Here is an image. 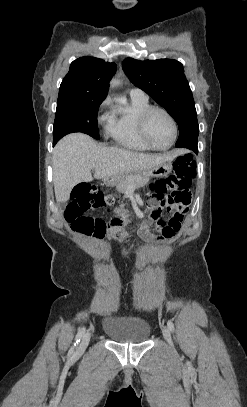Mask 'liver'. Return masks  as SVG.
<instances>
[{
	"instance_id": "liver-1",
	"label": "liver",
	"mask_w": 247,
	"mask_h": 407,
	"mask_svg": "<svg viewBox=\"0 0 247 407\" xmlns=\"http://www.w3.org/2000/svg\"><path fill=\"white\" fill-rule=\"evenodd\" d=\"M182 151L163 154H144L117 147L98 145L91 137L73 133L63 137L53 151V183L57 202H66L72 188L94 178L105 179L116 175L150 170L173 160Z\"/></svg>"
}]
</instances>
